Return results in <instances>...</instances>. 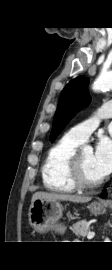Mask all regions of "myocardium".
<instances>
[{
  "mask_svg": "<svg viewBox=\"0 0 112 270\" xmlns=\"http://www.w3.org/2000/svg\"><path fill=\"white\" fill-rule=\"evenodd\" d=\"M80 151L76 150L67 160L66 174L71 184L76 189H94L103 183V178L95 182H88L84 180L81 174L80 167Z\"/></svg>",
  "mask_w": 112,
  "mask_h": 270,
  "instance_id": "f54148a6",
  "label": "myocardium"
}]
</instances>
